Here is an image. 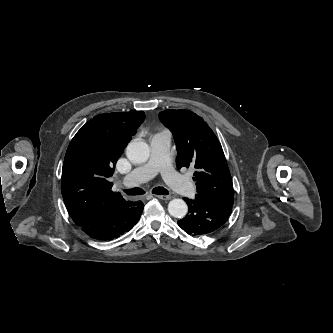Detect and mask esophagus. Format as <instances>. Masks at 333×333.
<instances>
[{
    "instance_id": "obj_1",
    "label": "esophagus",
    "mask_w": 333,
    "mask_h": 333,
    "mask_svg": "<svg viewBox=\"0 0 333 333\" xmlns=\"http://www.w3.org/2000/svg\"><path fill=\"white\" fill-rule=\"evenodd\" d=\"M155 197H157V198H159L161 200H169V199H171V197L168 196V195H155Z\"/></svg>"
}]
</instances>
